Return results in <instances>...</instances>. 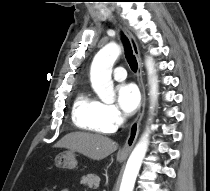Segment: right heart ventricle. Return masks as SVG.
Here are the masks:
<instances>
[{"label":"right heart ventricle","instance_id":"obj_1","mask_svg":"<svg viewBox=\"0 0 210 191\" xmlns=\"http://www.w3.org/2000/svg\"><path fill=\"white\" fill-rule=\"evenodd\" d=\"M73 121L82 130L106 134L114 131V126L104 117L103 104L87 92H80L73 104Z\"/></svg>","mask_w":210,"mask_h":191}]
</instances>
